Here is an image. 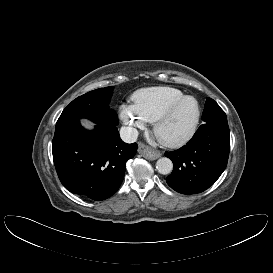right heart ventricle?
I'll list each match as a JSON object with an SVG mask.
<instances>
[{"label": "right heart ventricle", "mask_w": 273, "mask_h": 273, "mask_svg": "<svg viewBox=\"0 0 273 273\" xmlns=\"http://www.w3.org/2000/svg\"><path fill=\"white\" fill-rule=\"evenodd\" d=\"M183 96V92L175 88L149 87L134 92L131 100L139 114L152 123L170 103Z\"/></svg>", "instance_id": "1"}]
</instances>
